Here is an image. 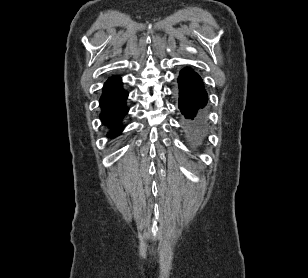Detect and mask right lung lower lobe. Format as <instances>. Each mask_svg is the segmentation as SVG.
Here are the masks:
<instances>
[{
  "mask_svg": "<svg viewBox=\"0 0 308 278\" xmlns=\"http://www.w3.org/2000/svg\"><path fill=\"white\" fill-rule=\"evenodd\" d=\"M127 97L128 93L122 88L120 78L110 79L105 83L100 98L102 109L100 119L104 125L110 127V132L107 134L110 138L117 136L123 130L121 120L128 112L125 105Z\"/></svg>",
  "mask_w": 308,
  "mask_h": 278,
  "instance_id": "obj_1",
  "label": "right lung lower lobe"
}]
</instances>
